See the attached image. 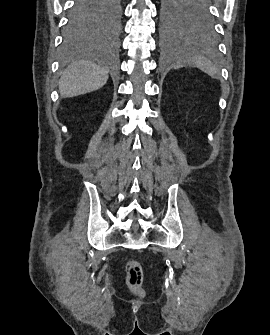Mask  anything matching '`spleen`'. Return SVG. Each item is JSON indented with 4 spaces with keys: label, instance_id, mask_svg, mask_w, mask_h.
I'll return each instance as SVG.
<instances>
[{
    "label": "spleen",
    "instance_id": "spleen-1",
    "mask_svg": "<svg viewBox=\"0 0 270 335\" xmlns=\"http://www.w3.org/2000/svg\"><path fill=\"white\" fill-rule=\"evenodd\" d=\"M177 64H195L199 70L206 72L208 76H215V74H218L219 72V68L213 66L212 62H210L206 56H202L196 44H191L188 40L181 44V50L178 52Z\"/></svg>",
    "mask_w": 270,
    "mask_h": 335
}]
</instances>
